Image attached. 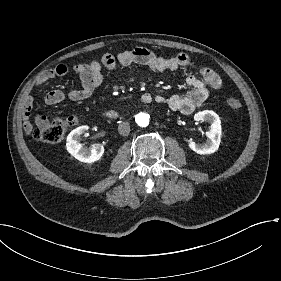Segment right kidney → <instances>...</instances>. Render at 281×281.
Returning a JSON list of instances; mask_svg holds the SVG:
<instances>
[{
	"label": "right kidney",
	"mask_w": 281,
	"mask_h": 281,
	"mask_svg": "<svg viewBox=\"0 0 281 281\" xmlns=\"http://www.w3.org/2000/svg\"><path fill=\"white\" fill-rule=\"evenodd\" d=\"M89 130L88 126L78 127L73 130L67 137L66 147L68 152L80 162L87 164L100 160L104 153L102 145H94L92 148H84L80 142L81 135Z\"/></svg>",
	"instance_id": "right-kidney-1"
}]
</instances>
